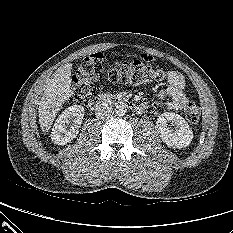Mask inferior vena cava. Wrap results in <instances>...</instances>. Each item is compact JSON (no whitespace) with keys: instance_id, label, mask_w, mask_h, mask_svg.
Segmentation results:
<instances>
[{"instance_id":"1","label":"inferior vena cava","mask_w":233,"mask_h":233,"mask_svg":"<svg viewBox=\"0 0 233 233\" xmlns=\"http://www.w3.org/2000/svg\"><path fill=\"white\" fill-rule=\"evenodd\" d=\"M112 113H113L112 107L107 104H102L98 106L95 112L96 117L99 119L109 118Z\"/></svg>"}]
</instances>
